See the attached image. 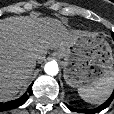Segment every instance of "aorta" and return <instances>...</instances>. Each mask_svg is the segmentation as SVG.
<instances>
[{"mask_svg": "<svg viewBox=\"0 0 114 114\" xmlns=\"http://www.w3.org/2000/svg\"><path fill=\"white\" fill-rule=\"evenodd\" d=\"M44 71L48 75H52V76L56 75L59 71L57 62L56 61H51V62L46 63V65L44 67Z\"/></svg>", "mask_w": 114, "mask_h": 114, "instance_id": "obj_1", "label": "aorta"}]
</instances>
